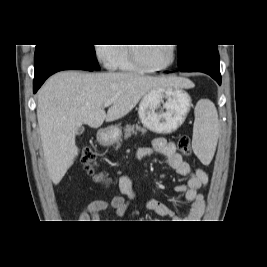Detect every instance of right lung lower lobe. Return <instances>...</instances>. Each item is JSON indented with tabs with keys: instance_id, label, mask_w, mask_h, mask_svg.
Segmentation results:
<instances>
[{
	"instance_id": "right-lung-lower-lobe-1",
	"label": "right lung lower lobe",
	"mask_w": 267,
	"mask_h": 267,
	"mask_svg": "<svg viewBox=\"0 0 267 267\" xmlns=\"http://www.w3.org/2000/svg\"><path fill=\"white\" fill-rule=\"evenodd\" d=\"M35 76L33 92L36 93L45 80L52 74L62 70L94 71L87 63L51 46L37 48L34 56Z\"/></svg>"
}]
</instances>
